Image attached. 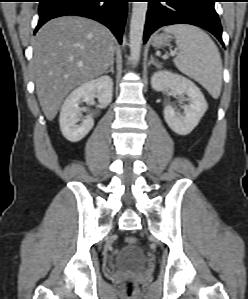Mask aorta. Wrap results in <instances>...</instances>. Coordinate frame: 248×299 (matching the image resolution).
Instances as JSON below:
<instances>
[{"label":"aorta","instance_id":"aorta-1","mask_svg":"<svg viewBox=\"0 0 248 299\" xmlns=\"http://www.w3.org/2000/svg\"><path fill=\"white\" fill-rule=\"evenodd\" d=\"M147 9V2H133L129 39L131 58L135 62L140 58Z\"/></svg>","mask_w":248,"mask_h":299}]
</instances>
